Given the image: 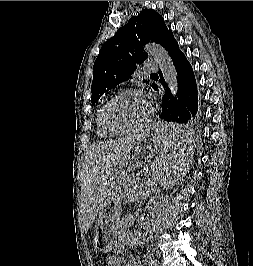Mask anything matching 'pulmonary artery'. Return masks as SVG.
<instances>
[{"instance_id":"1","label":"pulmonary artery","mask_w":253,"mask_h":266,"mask_svg":"<svg viewBox=\"0 0 253 266\" xmlns=\"http://www.w3.org/2000/svg\"><path fill=\"white\" fill-rule=\"evenodd\" d=\"M144 70L154 71V70H156V66L151 61H146Z\"/></svg>"}]
</instances>
